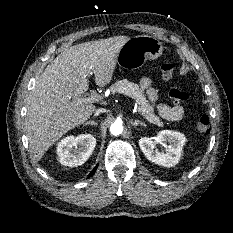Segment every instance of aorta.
<instances>
[{
    "label": "aorta",
    "instance_id": "aorta-1",
    "mask_svg": "<svg viewBox=\"0 0 233 233\" xmlns=\"http://www.w3.org/2000/svg\"><path fill=\"white\" fill-rule=\"evenodd\" d=\"M122 131H123V126L121 122L116 121L110 126V132L114 136L120 135Z\"/></svg>",
    "mask_w": 233,
    "mask_h": 233
}]
</instances>
